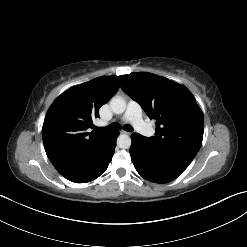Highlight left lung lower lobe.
<instances>
[{"instance_id": "0a47b994", "label": "left lung lower lobe", "mask_w": 247, "mask_h": 247, "mask_svg": "<svg viewBox=\"0 0 247 247\" xmlns=\"http://www.w3.org/2000/svg\"><path fill=\"white\" fill-rule=\"evenodd\" d=\"M129 153L137 172L144 179L155 183H168L174 180L191 163L163 151L149 138L140 134L132 135Z\"/></svg>"}]
</instances>
